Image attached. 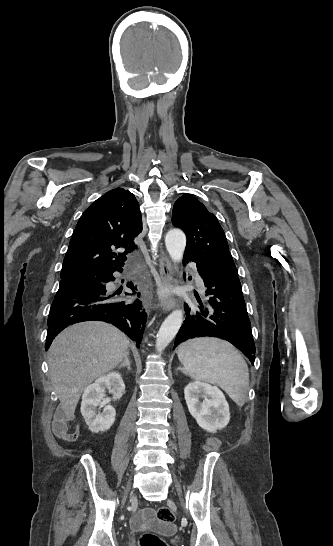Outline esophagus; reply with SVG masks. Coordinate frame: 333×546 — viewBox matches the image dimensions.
<instances>
[{"mask_svg":"<svg viewBox=\"0 0 333 546\" xmlns=\"http://www.w3.org/2000/svg\"><path fill=\"white\" fill-rule=\"evenodd\" d=\"M159 272L163 286L167 289L174 285L175 280L173 277V268L171 262L164 250H161L158 259ZM143 304L147 305L145 297H143ZM176 305V298L172 295H166L161 302V307L164 311L173 309Z\"/></svg>","mask_w":333,"mask_h":546,"instance_id":"esophagus-1","label":"esophagus"}]
</instances>
